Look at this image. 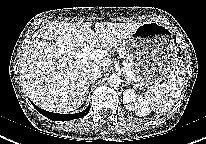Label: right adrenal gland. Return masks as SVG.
Masks as SVG:
<instances>
[{
    "instance_id": "obj_1",
    "label": "right adrenal gland",
    "mask_w": 206,
    "mask_h": 144,
    "mask_svg": "<svg viewBox=\"0 0 206 144\" xmlns=\"http://www.w3.org/2000/svg\"><path fill=\"white\" fill-rule=\"evenodd\" d=\"M91 84H92L91 82H88V83H87V90H88V91H87V94H88V92H89V87H90Z\"/></svg>"
}]
</instances>
